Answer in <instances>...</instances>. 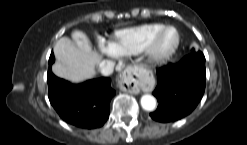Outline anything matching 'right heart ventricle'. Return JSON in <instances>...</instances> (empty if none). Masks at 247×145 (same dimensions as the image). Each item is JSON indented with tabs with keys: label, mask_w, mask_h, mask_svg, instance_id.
<instances>
[{
	"label": "right heart ventricle",
	"mask_w": 247,
	"mask_h": 145,
	"mask_svg": "<svg viewBox=\"0 0 247 145\" xmlns=\"http://www.w3.org/2000/svg\"><path fill=\"white\" fill-rule=\"evenodd\" d=\"M162 26L161 23H147L117 31L111 42V47L118 55L131 56L142 52L152 35Z\"/></svg>",
	"instance_id": "right-heart-ventricle-1"
}]
</instances>
